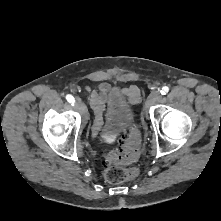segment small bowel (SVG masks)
I'll return each mask as SVG.
<instances>
[{"label": "small bowel", "mask_w": 221, "mask_h": 221, "mask_svg": "<svg viewBox=\"0 0 221 221\" xmlns=\"http://www.w3.org/2000/svg\"><path fill=\"white\" fill-rule=\"evenodd\" d=\"M109 90L110 85L108 83H101L96 88H85V94L95 113V120L92 128L93 136L98 134L104 124L106 100ZM125 92L130 100L136 101L140 97V91L136 86L127 88Z\"/></svg>", "instance_id": "1"}]
</instances>
